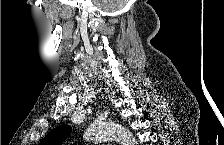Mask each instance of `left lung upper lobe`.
<instances>
[{
  "label": "left lung upper lobe",
  "mask_w": 224,
  "mask_h": 145,
  "mask_svg": "<svg viewBox=\"0 0 224 145\" xmlns=\"http://www.w3.org/2000/svg\"><path fill=\"white\" fill-rule=\"evenodd\" d=\"M71 130L69 125L58 126L41 141L40 145H61Z\"/></svg>",
  "instance_id": "1"
}]
</instances>
